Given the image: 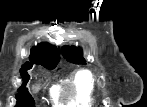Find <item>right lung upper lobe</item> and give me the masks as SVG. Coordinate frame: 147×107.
<instances>
[{
  "mask_svg": "<svg viewBox=\"0 0 147 107\" xmlns=\"http://www.w3.org/2000/svg\"><path fill=\"white\" fill-rule=\"evenodd\" d=\"M59 59V49L49 43H40L31 50L29 57L30 62L24 64L22 69L27 66H32L33 64H39L44 67L56 66Z\"/></svg>",
  "mask_w": 147,
  "mask_h": 107,
  "instance_id": "right-lung-upper-lobe-1",
  "label": "right lung upper lobe"
}]
</instances>
